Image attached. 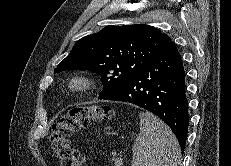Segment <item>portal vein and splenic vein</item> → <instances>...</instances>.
<instances>
[{
    "mask_svg": "<svg viewBox=\"0 0 231 166\" xmlns=\"http://www.w3.org/2000/svg\"><path fill=\"white\" fill-rule=\"evenodd\" d=\"M115 163L117 164V166H121L122 163H123L122 158H121V157H117V158L115 159Z\"/></svg>",
    "mask_w": 231,
    "mask_h": 166,
    "instance_id": "obj_1",
    "label": "portal vein and splenic vein"
}]
</instances>
